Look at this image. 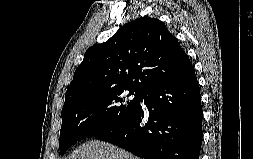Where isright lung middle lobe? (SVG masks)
<instances>
[{
	"label": "right lung middle lobe",
	"instance_id": "right-lung-middle-lobe-1",
	"mask_svg": "<svg viewBox=\"0 0 253 159\" xmlns=\"http://www.w3.org/2000/svg\"><path fill=\"white\" fill-rule=\"evenodd\" d=\"M125 91L96 93L64 104L60 153H65L78 140L105 132L126 120L139 107L142 94L129 91L127 96L135 97L128 100Z\"/></svg>",
	"mask_w": 253,
	"mask_h": 159
}]
</instances>
